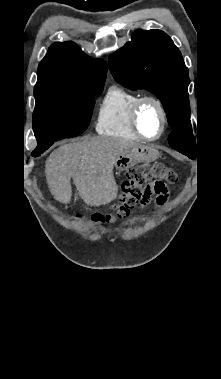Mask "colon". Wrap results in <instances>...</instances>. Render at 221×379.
Returning a JSON list of instances; mask_svg holds the SVG:
<instances>
[{
  "label": "colon",
  "instance_id": "colon-1",
  "mask_svg": "<svg viewBox=\"0 0 221 379\" xmlns=\"http://www.w3.org/2000/svg\"><path fill=\"white\" fill-rule=\"evenodd\" d=\"M178 180L174 169L156 162L142 164L130 169L122 183L119 202L110 213H94L91 219L97 223H113L130 214V211L146 196L162 195L167 192L166 184Z\"/></svg>",
  "mask_w": 221,
  "mask_h": 379
}]
</instances>
